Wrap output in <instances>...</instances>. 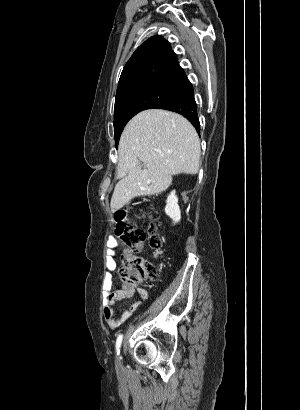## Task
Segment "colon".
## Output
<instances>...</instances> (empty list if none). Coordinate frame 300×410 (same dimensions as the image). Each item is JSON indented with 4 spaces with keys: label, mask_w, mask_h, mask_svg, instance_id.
<instances>
[{
    "label": "colon",
    "mask_w": 300,
    "mask_h": 410,
    "mask_svg": "<svg viewBox=\"0 0 300 410\" xmlns=\"http://www.w3.org/2000/svg\"><path fill=\"white\" fill-rule=\"evenodd\" d=\"M117 223L116 235L125 243L132 252L122 258L119 267V277L126 285H137L147 279L156 276L155 267L138 255L146 242L157 254L162 248V238L156 231L154 223H150L147 229L137 228L128 221V209H123L115 214Z\"/></svg>",
    "instance_id": "1"
}]
</instances>
